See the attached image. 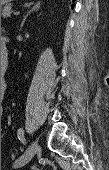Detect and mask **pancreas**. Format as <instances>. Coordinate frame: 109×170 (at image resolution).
I'll list each match as a JSON object with an SVG mask.
<instances>
[{
    "mask_svg": "<svg viewBox=\"0 0 109 170\" xmlns=\"http://www.w3.org/2000/svg\"><path fill=\"white\" fill-rule=\"evenodd\" d=\"M12 13V6L11 5H6L1 9V17L6 18L9 17Z\"/></svg>",
    "mask_w": 109,
    "mask_h": 170,
    "instance_id": "pancreas-1",
    "label": "pancreas"
}]
</instances>
